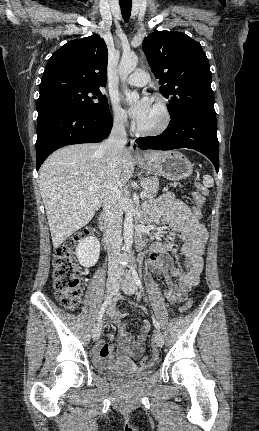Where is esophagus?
Masks as SVG:
<instances>
[{"label":"esophagus","mask_w":259,"mask_h":431,"mask_svg":"<svg viewBox=\"0 0 259 431\" xmlns=\"http://www.w3.org/2000/svg\"><path fill=\"white\" fill-rule=\"evenodd\" d=\"M131 152L133 154L134 157H139V148H138V144L135 140L131 141Z\"/></svg>","instance_id":"1"}]
</instances>
